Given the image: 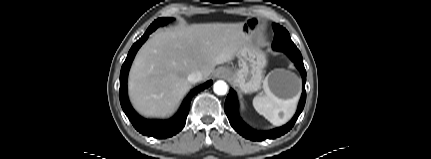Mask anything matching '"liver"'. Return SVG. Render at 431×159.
I'll list each match as a JSON object with an SVG mask.
<instances>
[{"instance_id":"liver-1","label":"liver","mask_w":431,"mask_h":159,"mask_svg":"<svg viewBox=\"0 0 431 159\" xmlns=\"http://www.w3.org/2000/svg\"><path fill=\"white\" fill-rule=\"evenodd\" d=\"M243 23L181 25L152 34L129 73L134 108L146 117L171 115L191 88L188 76L207 79L216 65L229 63L247 42Z\"/></svg>"}]
</instances>
